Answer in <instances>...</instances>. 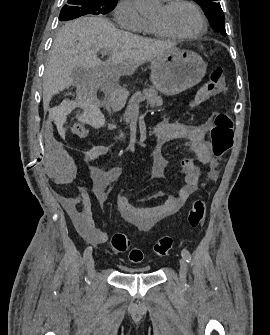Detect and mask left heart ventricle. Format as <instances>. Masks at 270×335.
<instances>
[{
  "label": "left heart ventricle",
  "mask_w": 270,
  "mask_h": 335,
  "mask_svg": "<svg viewBox=\"0 0 270 335\" xmlns=\"http://www.w3.org/2000/svg\"><path fill=\"white\" fill-rule=\"evenodd\" d=\"M151 20L166 30L179 34L194 33L201 26L197 13L192 7L185 4H181L171 11L163 4Z\"/></svg>",
  "instance_id": "1"
}]
</instances>
